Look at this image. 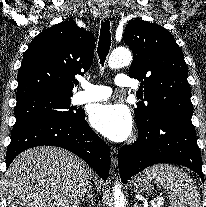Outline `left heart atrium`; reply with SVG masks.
<instances>
[{
	"mask_svg": "<svg viewBox=\"0 0 206 207\" xmlns=\"http://www.w3.org/2000/svg\"><path fill=\"white\" fill-rule=\"evenodd\" d=\"M89 121L98 132L115 142L126 140L133 130L132 116L121 104L94 105Z\"/></svg>",
	"mask_w": 206,
	"mask_h": 207,
	"instance_id": "1",
	"label": "left heart atrium"
}]
</instances>
